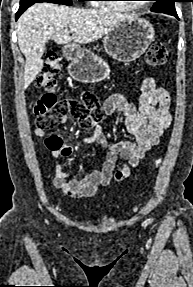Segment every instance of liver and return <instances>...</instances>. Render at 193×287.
Wrapping results in <instances>:
<instances>
[{"label":"liver","mask_w":193,"mask_h":287,"mask_svg":"<svg viewBox=\"0 0 193 287\" xmlns=\"http://www.w3.org/2000/svg\"><path fill=\"white\" fill-rule=\"evenodd\" d=\"M135 16L104 9H80L52 3H37L17 22L18 45L25 56L24 89L43 67L45 44H89L97 41L120 23ZM76 31L70 36V29Z\"/></svg>","instance_id":"liver-1"}]
</instances>
